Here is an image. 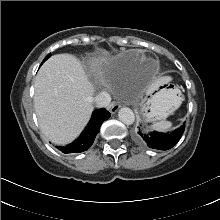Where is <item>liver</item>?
<instances>
[{"mask_svg":"<svg viewBox=\"0 0 220 220\" xmlns=\"http://www.w3.org/2000/svg\"><path fill=\"white\" fill-rule=\"evenodd\" d=\"M168 78L158 81L154 88ZM34 106L45 136L55 144L73 141L93 111V84L80 61L70 54L50 57L35 79Z\"/></svg>","mask_w":220,"mask_h":220,"instance_id":"1","label":"liver"}]
</instances>
